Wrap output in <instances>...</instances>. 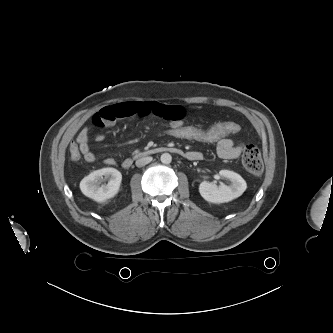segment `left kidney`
I'll use <instances>...</instances> for the list:
<instances>
[{
    "mask_svg": "<svg viewBox=\"0 0 333 333\" xmlns=\"http://www.w3.org/2000/svg\"><path fill=\"white\" fill-rule=\"evenodd\" d=\"M219 175L230 181L229 185H219L203 181L199 186L200 195L211 203H225L240 197L247 188L246 181L230 170H220Z\"/></svg>",
    "mask_w": 333,
    "mask_h": 333,
    "instance_id": "1",
    "label": "left kidney"
}]
</instances>
